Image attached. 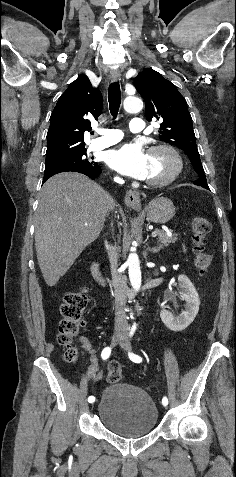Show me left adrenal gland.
Segmentation results:
<instances>
[{
  "mask_svg": "<svg viewBox=\"0 0 236 477\" xmlns=\"http://www.w3.org/2000/svg\"><path fill=\"white\" fill-rule=\"evenodd\" d=\"M161 248H162L161 245L158 246V247H154V248H150V247L148 246L147 250H149V251H151V252H153V253H158V252L161 250Z\"/></svg>",
  "mask_w": 236,
  "mask_h": 477,
  "instance_id": "1",
  "label": "left adrenal gland"
}]
</instances>
